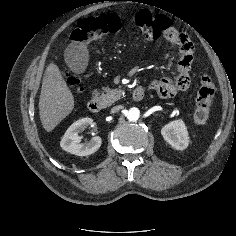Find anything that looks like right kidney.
<instances>
[{
	"instance_id": "1",
	"label": "right kidney",
	"mask_w": 236,
	"mask_h": 236,
	"mask_svg": "<svg viewBox=\"0 0 236 236\" xmlns=\"http://www.w3.org/2000/svg\"><path fill=\"white\" fill-rule=\"evenodd\" d=\"M92 123L91 118H82L74 122L65 132L60 142L61 148L77 156H88L96 152L102 144L100 137H93L90 141L82 143V137L79 136V133Z\"/></svg>"
}]
</instances>
